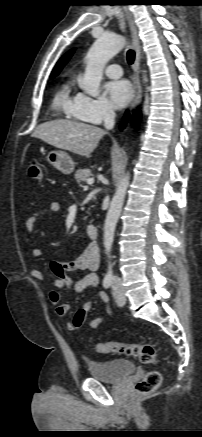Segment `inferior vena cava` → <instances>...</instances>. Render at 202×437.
<instances>
[{"instance_id":"602c4592","label":"inferior vena cava","mask_w":202,"mask_h":437,"mask_svg":"<svg viewBox=\"0 0 202 437\" xmlns=\"http://www.w3.org/2000/svg\"><path fill=\"white\" fill-rule=\"evenodd\" d=\"M103 120H104V127L106 129H112L115 124V112L112 107H108L105 109L103 114ZM117 280L118 278L115 277Z\"/></svg>"}]
</instances>
